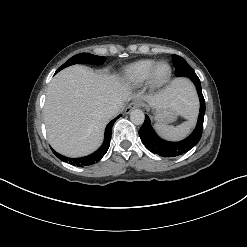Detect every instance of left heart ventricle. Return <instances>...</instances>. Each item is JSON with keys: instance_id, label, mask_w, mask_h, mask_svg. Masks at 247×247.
I'll use <instances>...</instances> for the list:
<instances>
[{"instance_id": "b2bd125f", "label": "left heart ventricle", "mask_w": 247, "mask_h": 247, "mask_svg": "<svg viewBox=\"0 0 247 247\" xmlns=\"http://www.w3.org/2000/svg\"><path fill=\"white\" fill-rule=\"evenodd\" d=\"M167 70H168L167 66H165V65L161 66L159 69V75L164 76L167 73Z\"/></svg>"}]
</instances>
